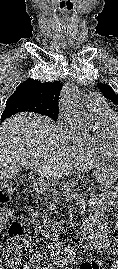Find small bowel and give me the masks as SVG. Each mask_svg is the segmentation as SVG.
<instances>
[{
  "label": "small bowel",
  "instance_id": "small-bowel-1",
  "mask_svg": "<svg viewBox=\"0 0 118 269\" xmlns=\"http://www.w3.org/2000/svg\"><path fill=\"white\" fill-rule=\"evenodd\" d=\"M116 191H118V187L116 188ZM79 242L85 246L105 253L109 258L108 265H110V267L112 262V268L107 269L117 268L118 262L112 260V257L118 256V242L114 241L112 247L108 244L107 206L105 204L94 203L92 205L91 216L85 222V236L81 238ZM68 263L69 261L67 259H60L54 265L47 267L46 269H57ZM92 266H94V263L88 265L91 269Z\"/></svg>",
  "mask_w": 118,
  "mask_h": 269
}]
</instances>
